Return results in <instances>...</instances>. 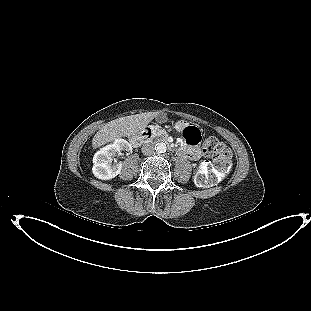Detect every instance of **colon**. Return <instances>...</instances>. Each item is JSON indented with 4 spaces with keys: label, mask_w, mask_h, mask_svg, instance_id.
<instances>
[{
    "label": "colon",
    "mask_w": 311,
    "mask_h": 311,
    "mask_svg": "<svg viewBox=\"0 0 311 311\" xmlns=\"http://www.w3.org/2000/svg\"><path fill=\"white\" fill-rule=\"evenodd\" d=\"M191 141H199V132L194 127L184 130ZM203 153L212 160L210 164L203 165L195 176L199 186L212 185L222 181L230 172L232 166L231 150L215 137H209L204 141Z\"/></svg>",
    "instance_id": "5ec220e1"
}]
</instances>
